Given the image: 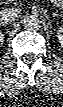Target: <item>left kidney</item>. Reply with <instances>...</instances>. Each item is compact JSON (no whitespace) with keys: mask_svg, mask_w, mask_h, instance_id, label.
Instances as JSON below:
<instances>
[{"mask_svg":"<svg viewBox=\"0 0 63 107\" xmlns=\"http://www.w3.org/2000/svg\"><path fill=\"white\" fill-rule=\"evenodd\" d=\"M57 38L59 43L63 46V29L62 28L58 29Z\"/></svg>","mask_w":63,"mask_h":107,"instance_id":"1","label":"left kidney"}]
</instances>
